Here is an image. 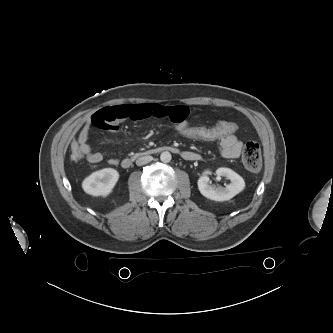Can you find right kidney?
Wrapping results in <instances>:
<instances>
[{"instance_id": "obj_1", "label": "right kidney", "mask_w": 333, "mask_h": 333, "mask_svg": "<svg viewBox=\"0 0 333 333\" xmlns=\"http://www.w3.org/2000/svg\"><path fill=\"white\" fill-rule=\"evenodd\" d=\"M119 179V173L113 168H104L93 172L82 182L83 190L93 196H107Z\"/></svg>"}]
</instances>
